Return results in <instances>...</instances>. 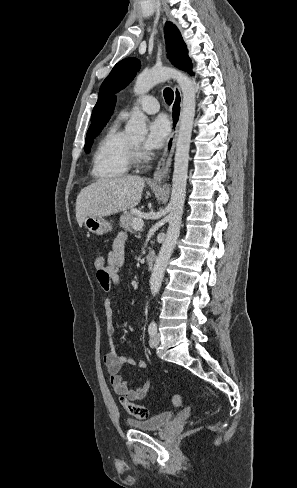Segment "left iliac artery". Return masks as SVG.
Listing matches in <instances>:
<instances>
[{
    "label": "left iliac artery",
    "mask_w": 297,
    "mask_h": 488,
    "mask_svg": "<svg viewBox=\"0 0 297 488\" xmlns=\"http://www.w3.org/2000/svg\"><path fill=\"white\" fill-rule=\"evenodd\" d=\"M148 332H149L150 336H153L157 332V324L155 321H152L149 324Z\"/></svg>",
    "instance_id": "obj_1"
}]
</instances>
